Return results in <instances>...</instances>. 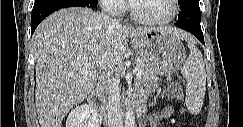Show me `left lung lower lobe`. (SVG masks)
I'll return each instance as SVG.
<instances>
[{
    "instance_id": "1",
    "label": "left lung lower lobe",
    "mask_w": 243,
    "mask_h": 127,
    "mask_svg": "<svg viewBox=\"0 0 243 127\" xmlns=\"http://www.w3.org/2000/svg\"><path fill=\"white\" fill-rule=\"evenodd\" d=\"M180 9L176 26L194 34L205 45L200 26L201 13L198 0L188 1L182 4Z\"/></svg>"
}]
</instances>
